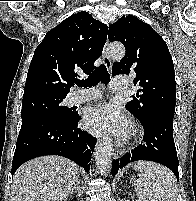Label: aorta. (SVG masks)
<instances>
[{
    "label": "aorta",
    "instance_id": "1",
    "mask_svg": "<svg viewBox=\"0 0 196 201\" xmlns=\"http://www.w3.org/2000/svg\"><path fill=\"white\" fill-rule=\"evenodd\" d=\"M106 53L112 59H122L125 55V48L122 44H111L107 47ZM112 147L113 144L110 138L99 141L95 147L94 157L99 172L102 175L111 169Z\"/></svg>",
    "mask_w": 196,
    "mask_h": 201
}]
</instances>
